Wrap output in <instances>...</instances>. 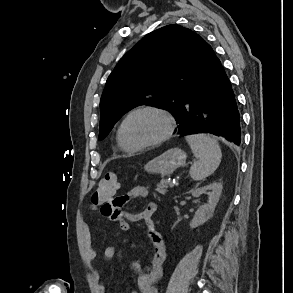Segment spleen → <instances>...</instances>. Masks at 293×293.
I'll use <instances>...</instances> for the list:
<instances>
[{"mask_svg": "<svg viewBox=\"0 0 293 293\" xmlns=\"http://www.w3.org/2000/svg\"><path fill=\"white\" fill-rule=\"evenodd\" d=\"M198 161L190 168V176L199 181L210 176L219 166L222 153L218 142L207 134H194L185 137Z\"/></svg>", "mask_w": 293, "mask_h": 293, "instance_id": "1", "label": "spleen"}]
</instances>
